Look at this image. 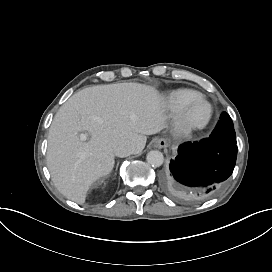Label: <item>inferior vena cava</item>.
Listing matches in <instances>:
<instances>
[{"instance_id": "inferior-vena-cava-1", "label": "inferior vena cava", "mask_w": 272, "mask_h": 272, "mask_svg": "<svg viewBox=\"0 0 272 272\" xmlns=\"http://www.w3.org/2000/svg\"><path fill=\"white\" fill-rule=\"evenodd\" d=\"M135 153V146L130 143L128 140H123L115 145L114 154L117 157H127Z\"/></svg>"}]
</instances>
